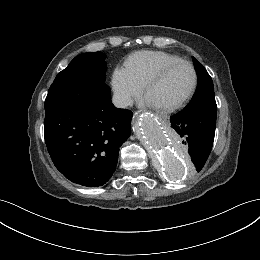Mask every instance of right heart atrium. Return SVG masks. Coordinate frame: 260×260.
<instances>
[{
  "label": "right heart atrium",
  "instance_id": "1",
  "mask_svg": "<svg viewBox=\"0 0 260 260\" xmlns=\"http://www.w3.org/2000/svg\"><path fill=\"white\" fill-rule=\"evenodd\" d=\"M113 90L122 106H128L137 97L143 86L133 80L124 68H116L112 77Z\"/></svg>",
  "mask_w": 260,
  "mask_h": 260
}]
</instances>
